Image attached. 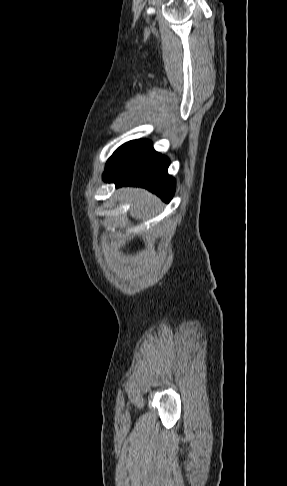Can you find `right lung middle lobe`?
Segmentation results:
<instances>
[{"label": "right lung middle lobe", "instance_id": "1", "mask_svg": "<svg viewBox=\"0 0 287 486\" xmlns=\"http://www.w3.org/2000/svg\"><path fill=\"white\" fill-rule=\"evenodd\" d=\"M133 142H134V140H133V141H130V142H127V143H125V144H123L122 146H120V147H119V148H118V149H117V150L114 152V154H115V153H117L118 151L122 150V149H123V148H125L126 146L130 145V144H131V143H133Z\"/></svg>", "mask_w": 287, "mask_h": 486}]
</instances>
